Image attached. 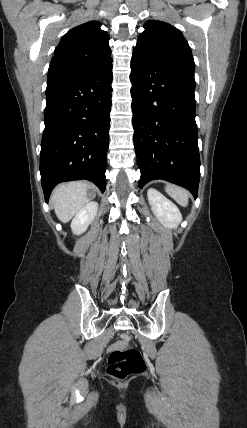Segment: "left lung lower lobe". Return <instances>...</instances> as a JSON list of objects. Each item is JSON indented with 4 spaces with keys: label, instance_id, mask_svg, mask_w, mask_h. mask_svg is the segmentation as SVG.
I'll return each mask as SVG.
<instances>
[{
    "label": "left lung lower lobe",
    "instance_id": "obj_1",
    "mask_svg": "<svg viewBox=\"0 0 247 428\" xmlns=\"http://www.w3.org/2000/svg\"><path fill=\"white\" fill-rule=\"evenodd\" d=\"M130 80L139 187L163 179L197 198L200 158L194 77L133 53Z\"/></svg>",
    "mask_w": 247,
    "mask_h": 428
}]
</instances>
